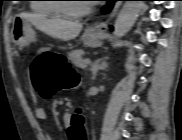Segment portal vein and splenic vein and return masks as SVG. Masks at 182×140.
Returning <instances> with one entry per match:
<instances>
[{"label": "portal vein and splenic vein", "mask_w": 182, "mask_h": 140, "mask_svg": "<svg viewBox=\"0 0 182 140\" xmlns=\"http://www.w3.org/2000/svg\"><path fill=\"white\" fill-rule=\"evenodd\" d=\"M84 63H85L86 65L91 64V60L87 58V59L84 60Z\"/></svg>", "instance_id": "1"}]
</instances>
